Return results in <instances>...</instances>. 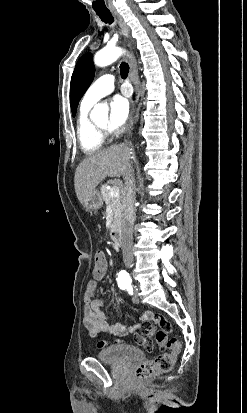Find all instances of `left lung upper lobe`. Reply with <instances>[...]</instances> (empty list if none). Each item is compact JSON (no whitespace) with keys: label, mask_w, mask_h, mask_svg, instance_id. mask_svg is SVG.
I'll list each match as a JSON object with an SVG mask.
<instances>
[{"label":"left lung upper lobe","mask_w":247,"mask_h":413,"mask_svg":"<svg viewBox=\"0 0 247 413\" xmlns=\"http://www.w3.org/2000/svg\"><path fill=\"white\" fill-rule=\"evenodd\" d=\"M94 73L93 56L91 53H87L78 60L71 78L70 105L73 116H75L81 97L94 78Z\"/></svg>","instance_id":"left-lung-upper-lobe-1"}]
</instances>
